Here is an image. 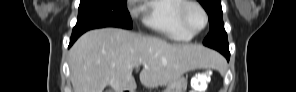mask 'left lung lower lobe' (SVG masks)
<instances>
[{
	"instance_id": "left-lung-lower-lobe-1",
	"label": "left lung lower lobe",
	"mask_w": 296,
	"mask_h": 92,
	"mask_svg": "<svg viewBox=\"0 0 296 92\" xmlns=\"http://www.w3.org/2000/svg\"><path fill=\"white\" fill-rule=\"evenodd\" d=\"M219 52H221L229 60V57H230L229 50H220Z\"/></svg>"
}]
</instances>
